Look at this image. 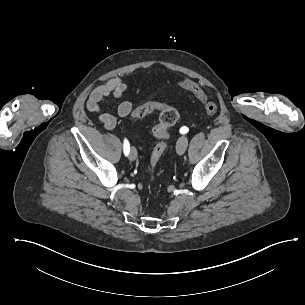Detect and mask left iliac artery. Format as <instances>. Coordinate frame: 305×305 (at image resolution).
Returning <instances> with one entry per match:
<instances>
[{"label": "left iliac artery", "instance_id": "left-iliac-artery-1", "mask_svg": "<svg viewBox=\"0 0 305 305\" xmlns=\"http://www.w3.org/2000/svg\"><path fill=\"white\" fill-rule=\"evenodd\" d=\"M189 131V129L186 127V126H184V127H182L181 129H180V133L181 134H185V133H187Z\"/></svg>", "mask_w": 305, "mask_h": 305}]
</instances>
